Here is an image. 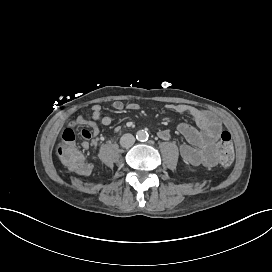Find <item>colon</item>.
Segmentation results:
<instances>
[{
    "label": "colon",
    "instance_id": "colon-1",
    "mask_svg": "<svg viewBox=\"0 0 272 272\" xmlns=\"http://www.w3.org/2000/svg\"><path fill=\"white\" fill-rule=\"evenodd\" d=\"M59 164L66 166L69 171H76L81 174H87L90 166L85 164V158L80 154L76 147V133L72 129H63L59 133V147L57 148ZM218 157L223 165H230L234 158V147L232 137L229 132H222L219 143L211 153Z\"/></svg>",
    "mask_w": 272,
    "mask_h": 272
}]
</instances>
